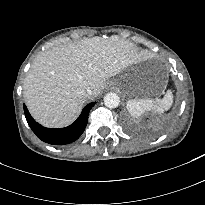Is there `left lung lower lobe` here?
<instances>
[{"instance_id":"0a47b994","label":"left lung lower lobe","mask_w":205,"mask_h":205,"mask_svg":"<svg viewBox=\"0 0 205 205\" xmlns=\"http://www.w3.org/2000/svg\"><path fill=\"white\" fill-rule=\"evenodd\" d=\"M163 130V125H159L154 129L155 133H160Z\"/></svg>"}]
</instances>
